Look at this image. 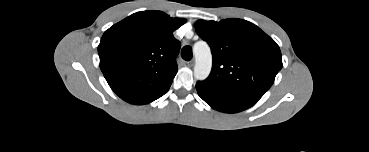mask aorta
Returning <instances> with one entry per match:
<instances>
[{"instance_id":"obj_1","label":"aorta","mask_w":369,"mask_h":152,"mask_svg":"<svg viewBox=\"0 0 369 152\" xmlns=\"http://www.w3.org/2000/svg\"><path fill=\"white\" fill-rule=\"evenodd\" d=\"M195 55L194 77L196 80H205L211 71L212 54L209 45L205 41H198L193 46Z\"/></svg>"}]
</instances>
